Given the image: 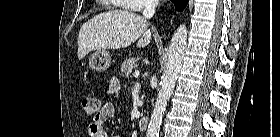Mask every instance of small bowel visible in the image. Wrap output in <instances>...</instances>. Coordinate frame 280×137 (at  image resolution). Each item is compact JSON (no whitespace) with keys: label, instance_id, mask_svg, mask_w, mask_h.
<instances>
[{"label":"small bowel","instance_id":"obj_1","mask_svg":"<svg viewBox=\"0 0 280 137\" xmlns=\"http://www.w3.org/2000/svg\"><path fill=\"white\" fill-rule=\"evenodd\" d=\"M106 89L109 93H117L120 89L118 78L112 77L106 82ZM115 108L113 103H105L95 115L92 121L88 124V132L90 137H107L104 123L114 114Z\"/></svg>","mask_w":280,"mask_h":137}]
</instances>
